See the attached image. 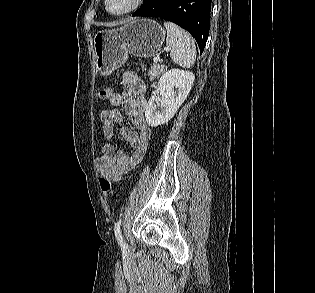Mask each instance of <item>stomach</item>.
Masks as SVG:
<instances>
[{
    "mask_svg": "<svg viewBox=\"0 0 315 293\" xmlns=\"http://www.w3.org/2000/svg\"><path fill=\"white\" fill-rule=\"evenodd\" d=\"M165 40V30L149 19L131 21L118 29L97 31L93 37L96 71L107 76L121 67L128 55L149 58Z\"/></svg>",
    "mask_w": 315,
    "mask_h": 293,
    "instance_id": "obj_1",
    "label": "stomach"
}]
</instances>
